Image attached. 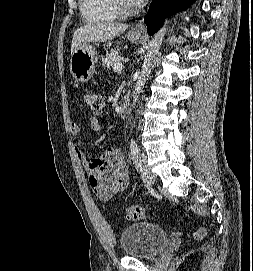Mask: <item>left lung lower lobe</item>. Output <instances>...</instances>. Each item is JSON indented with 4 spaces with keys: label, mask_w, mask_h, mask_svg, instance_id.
Listing matches in <instances>:
<instances>
[{
    "label": "left lung lower lobe",
    "mask_w": 253,
    "mask_h": 271,
    "mask_svg": "<svg viewBox=\"0 0 253 271\" xmlns=\"http://www.w3.org/2000/svg\"><path fill=\"white\" fill-rule=\"evenodd\" d=\"M194 0H153L144 18L149 35H153L163 24L164 18L178 9H184Z\"/></svg>",
    "instance_id": "1"
}]
</instances>
